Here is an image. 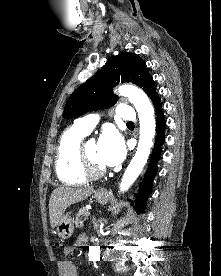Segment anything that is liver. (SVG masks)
Returning a JSON list of instances; mask_svg holds the SVG:
<instances>
[{
  "label": "liver",
  "mask_w": 221,
  "mask_h": 276,
  "mask_svg": "<svg viewBox=\"0 0 221 276\" xmlns=\"http://www.w3.org/2000/svg\"><path fill=\"white\" fill-rule=\"evenodd\" d=\"M94 193L89 187H58L54 189L49 200V216L52 228H55L63 216L64 211L72 204L88 198Z\"/></svg>",
  "instance_id": "1"
}]
</instances>
